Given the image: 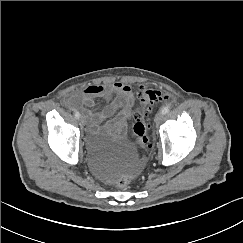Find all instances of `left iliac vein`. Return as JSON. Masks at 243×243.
Returning a JSON list of instances; mask_svg holds the SVG:
<instances>
[{
  "label": "left iliac vein",
  "instance_id": "4c4485c4",
  "mask_svg": "<svg viewBox=\"0 0 243 243\" xmlns=\"http://www.w3.org/2000/svg\"><path fill=\"white\" fill-rule=\"evenodd\" d=\"M163 113L162 112H158L156 115H155V123L158 125L160 124V122L162 121L163 119Z\"/></svg>",
  "mask_w": 243,
  "mask_h": 243
}]
</instances>
